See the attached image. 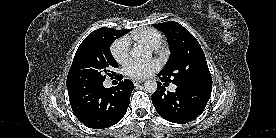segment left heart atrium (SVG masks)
I'll use <instances>...</instances> for the list:
<instances>
[{
  "mask_svg": "<svg viewBox=\"0 0 276 138\" xmlns=\"http://www.w3.org/2000/svg\"><path fill=\"white\" fill-rule=\"evenodd\" d=\"M159 65L155 61H130L125 66V73L127 76L136 79H143L153 74Z\"/></svg>",
  "mask_w": 276,
  "mask_h": 138,
  "instance_id": "39dd6f15",
  "label": "left heart atrium"
}]
</instances>
